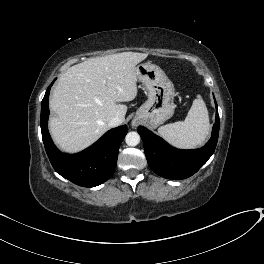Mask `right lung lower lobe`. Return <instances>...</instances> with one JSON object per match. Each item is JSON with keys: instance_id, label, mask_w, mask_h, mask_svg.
<instances>
[{"instance_id": "98d812e1", "label": "right lung lower lobe", "mask_w": 264, "mask_h": 264, "mask_svg": "<svg viewBox=\"0 0 264 264\" xmlns=\"http://www.w3.org/2000/svg\"><path fill=\"white\" fill-rule=\"evenodd\" d=\"M54 81L48 87L42 100L40 118L42 139L48 158L55 171L74 184L83 187L98 186L114 173L119 146L128 132L127 126L109 130L91 147L78 154L61 153L52 142L48 132V100Z\"/></svg>"}]
</instances>
